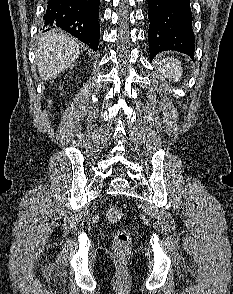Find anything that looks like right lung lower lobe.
I'll return each mask as SVG.
<instances>
[{
	"mask_svg": "<svg viewBox=\"0 0 233 294\" xmlns=\"http://www.w3.org/2000/svg\"><path fill=\"white\" fill-rule=\"evenodd\" d=\"M99 3L100 0H49L44 26L47 30H66L96 51L100 36Z\"/></svg>",
	"mask_w": 233,
	"mask_h": 294,
	"instance_id": "1",
	"label": "right lung lower lobe"
}]
</instances>
